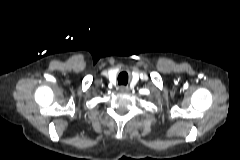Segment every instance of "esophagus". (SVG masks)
Here are the masks:
<instances>
[{"label":"esophagus","instance_id":"34e87169","mask_svg":"<svg viewBox=\"0 0 240 160\" xmlns=\"http://www.w3.org/2000/svg\"><path fill=\"white\" fill-rule=\"evenodd\" d=\"M120 91H121V92H127V91H128V87H126V86H121V87H120Z\"/></svg>","mask_w":240,"mask_h":160}]
</instances>
